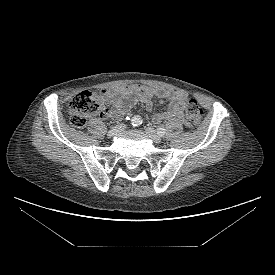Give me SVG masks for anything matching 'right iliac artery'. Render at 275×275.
Masks as SVG:
<instances>
[{"label": "right iliac artery", "instance_id": "obj_1", "mask_svg": "<svg viewBox=\"0 0 275 275\" xmlns=\"http://www.w3.org/2000/svg\"><path fill=\"white\" fill-rule=\"evenodd\" d=\"M141 123H142V119L139 115L134 116L131 120V124L134 127L139 126Z\"/></svg>", "mask_w": 275, "mask_h": 275}]
</instances>
